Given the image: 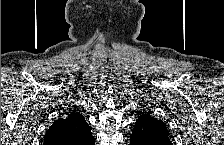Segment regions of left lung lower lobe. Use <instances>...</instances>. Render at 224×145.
Here are the masks:
<instances>
[{
    "label": "left lung lower lobe",
    "instance_id": "1",
    "mask_svg": "<svg viewBox=\"0 0 224 145\" xmlns=\"http://www.w3.org/2000/svg\"><path fill=\"white\" fill-rule=\"evenodd\" d=\"M131 145H171L167 139L154 126V122L149 117L140 116L132 130L130 137Z\"/></svg>",
    "mask_w": 224,
    "mask_h": 145
}]
</instances>
